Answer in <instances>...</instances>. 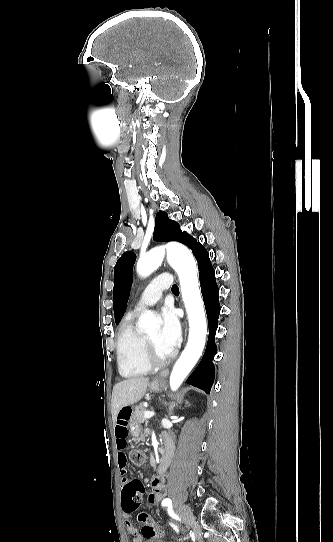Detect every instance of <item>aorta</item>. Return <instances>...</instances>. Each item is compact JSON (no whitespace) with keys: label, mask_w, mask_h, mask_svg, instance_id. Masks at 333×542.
I'll list each match as a JSON object with an SVG mask.
<instances>
[{"label":"aorta","mask_w":333,"mask_h":542,"mask_svg":"<svg viewBox=\"0 0 333 542\" xmlns=\"http://www.w3.org/2000/svg\"><path fill=\"white\" fill-rule=\"evenodd\" d=\"M170 266L177 272L180 280L182 300L188 314L189 336L186 348H184L179 360L174 364L170 374L169 384L171 390H178L185 378L196 366L206 344L207 322L203 300L198 288V276L196 262L193 254L182 244H168L166 246ZM162 264L161 252L150 250L145 256H141L137 262V272L143 278L150 276L158 270ZM158 320L153 312L147 310L139 318V330H149L157 326Z\"/></svg>","instance_id":"aorta-1"}]
</instances>
